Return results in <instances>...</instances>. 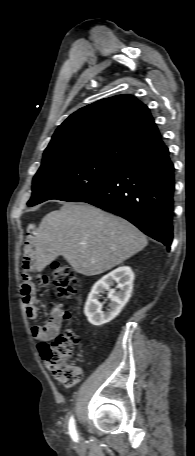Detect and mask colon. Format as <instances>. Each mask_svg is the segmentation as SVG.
Returning <instances> with one entry per match:
<instances>
[{"instance_id": "1", "label": "colon", "mask_w": 195, "mask_h": 456, "mask_svg": "<svg viewBox=\"0 0 195 456\" xmlns=\"http://www.w3.org/2000/svg\"><path fill=\"white\" fill-rule=\"evenodd\" d=\"M53 285L64 298H70L77 292L79 278L67 264L53 262L51 265ZM65 319L71 318L69 311L63 312ZM77 343V336L71 329L65 330L51 343L42 342L38 345L40 356L47 369L64 386L77 384L81 378L80 369L70 363V358Z\"/></svg>"}]
</instances>
